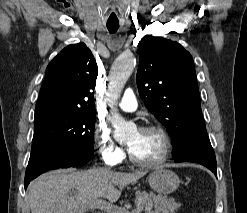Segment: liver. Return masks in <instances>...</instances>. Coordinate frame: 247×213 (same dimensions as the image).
<instances>
[{
    "label": "liver",
    "mask_w": 247,
    "mask_h": 213,
    "mask_svg": "<svg viewBox=\"0 0 247 213\" xmlns=\"http://www.w3.org/2000/svg\"><path fill=\"white\" fill-rule=\"evenodd\" d=\"M145 174V171L123 173L97 168L45 173L28 187L31 213H84L88 202L100 198L116 202L125 186ZM71 189H75L73 195L69 193Z\"/></svg>",
    "instance_id": "6515ba94"
}]
</instances>
